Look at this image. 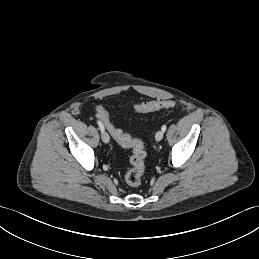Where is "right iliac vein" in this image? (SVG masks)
Listing matches in <instances>:
<instances>
[{
    "label": "right iliac vein",
    "mask_w": 259,
    "mask_h": 259,
    "mask_svg": "<svg viewBox=\"0 0 259 259\" xmlns=\"http://www.w3.org/2000/svg\"><path fill=\"white\" fill-rule=\"evenodd\" d=\"M101 137L104 143H109L110 137L107 132L103 131Z\"/></svg>",
    "instance_id": "1"
}]
</instances>
